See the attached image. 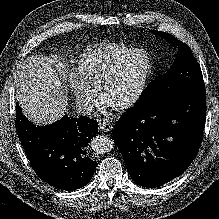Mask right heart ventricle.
Here are the masks:
<instances>
[{
    "instance_id": "e07e8e85",
    "label": "right heart ventricle",
    "mask_w": 219,
    "mask_h": 219,
    "mask_svg": "<svg viewBox=\"0 0 219 219\" xmlns=\"http://www.w3.org/2000/svg\"><path fill=\"white\" fill-rule=\"evenodd\" d=\"M134 47L121 44H105L82 51L75 60V75L90 87L97 89L111 65Z\"/></svg>"
}]
</instances>
